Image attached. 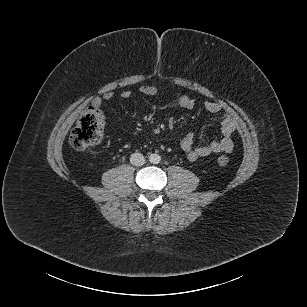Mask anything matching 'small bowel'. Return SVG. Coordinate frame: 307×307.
Listing matches in <instances>:
<instances>
[{"mask_svg": "<svg viewBox=\"0 0 307 307\" xmlns=\"http://www.w3.org/2000/svg\"><path fill=\"white\" fill-rule=\"evenodd\" d=\"M140 92L146 96H157L160 94V90L154 85H143L139 88ZM131 91L126 90L121 93V97L127 99L131 97ZM112 92H107L103 97H98L93 100L92 106L98 110L100 117L103 119V102L109 101L113 98ZM180 107L191 110L195 107L196 102L193 98L182 95L178 99ZM206 111L212 114H220L219 123L221 130V137L214 139L206 145L197 144L195 141V135L193 133L187 134L180 143L182 150L185 152L187 158L190 161H195L198 158L207 157L212 154L229 153L233 150L234 143L231 139L235 132V124L232 118L225 113L221 114V106L213 101H205L203 104Z\"/></svg>", "mask_w": 307, "mask_h": 307, "instance_id": "1", "label": "small bowel"}]
</instances>
